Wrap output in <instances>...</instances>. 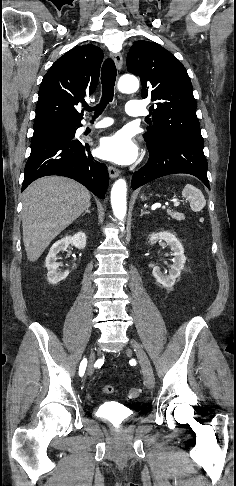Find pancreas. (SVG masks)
I'll return each instance as SVG.
<instances>
[{
    "label": "pancreas",
    "mask_w": 236,
    "mask_h": 486,
    "mask_svg": "<svg viewBox=\"0 0 236 486\" xmlns=\"http://www.w3.org/2000/svg\"><path fill=\"white\" fill-rule=\"evenodd\" d=\"M169 215L173 218V219H176L178 221L180 220H183L185 217H184V214L183 213H179V212H169Z\"/></svg>",
    "instance_id": "1"
}]
</instances>
